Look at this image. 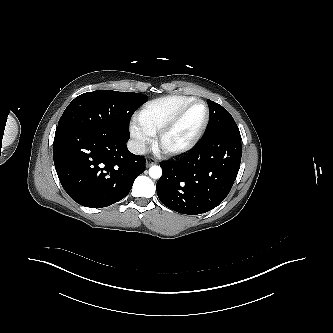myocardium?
<instances>
[{"instance_id": "myocardium-1", "label": "myocardium", "mask_w": 333, "mask_h": 333, "mask_svg": "<svg viewBox=\"0 0 333 333\" xmlns=\"http://www.w3.org/2000/svg\"><path fill=\"white\" fill-rule=\"evenodd\" d=\"M196 104H202L205 107L206 114L203 122L199 128L193 133V135L183 144L179 146H167L165 139L167 136L177 127L180 121L183 119L185 114ZM210 120V109L209 106L200 99H194L191 102L180 108L175 115L156 133L154 140V146L156 150L167 157L178 156L190 151L201 139L206 131V128Z\"/></svg>"}]
</instances>
